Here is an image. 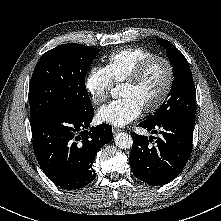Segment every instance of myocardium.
<instances>
[{
	"label": "myocardium",
	"mask_w": 221,
	"mask_h": 221,
	"mask_svg": "<svg viewBox=\"0 0 221 221\" xmlns=\"http://www.w3.org/2000/svg\"><path fill=\"white\" fill-rule=\"evenodd\" d=\"M156 62H162L166 66L168 71V81L159 99L153 105L143 108V110L147 113H153L158 111L166 103L171 94L175 80V70L172 62L168 58L163 56L156 55L154 57H151L145 60L142 64H140L131 74V76L128 77L123 83L129 85L137 84L143 79L149 68Z\"/></svg>",
	"instance_id": "obj_1"
}]
</instances>
